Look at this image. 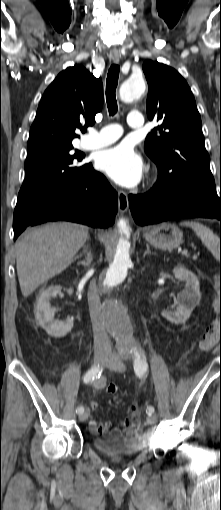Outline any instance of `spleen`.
I'll return each instance as SVG.
<instances>
[{
	"label": "spleen",
	"instance_id": "1",
	"mask_svg": "<svg viewBox=\"0 0 221 510\" xmlns=\"http://www.w3.org/2000/svg\"><path fill=\"white\" fill-rule=\"evenodd\" d=\"M180 224L190 227L208 250L217 258L219 254V238L211 229L196 221H183Z\"/></svg>",
	"mask_w": 221,
	"mask_h": 510
}]
</instances>
